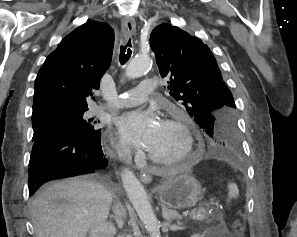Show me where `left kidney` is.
Instances as JSON below:
<instances>
[{
    "label": "left kidney",
    "mask_w": 297,
    "mask_h": 237,
    "mask_svg": "<svg viewBox=\"0 0 297 237\" xmlns=\"http://www.w3.org/2000/svg\"><path fill=\"white\" fill-rule=\"evenodd\" d=\"M191 237H211V231L205 230L202 234H194Z\"/></svg>",
    "instance_id": "1"
}]
</instances>
